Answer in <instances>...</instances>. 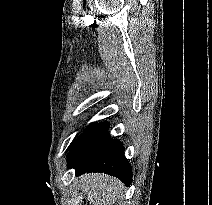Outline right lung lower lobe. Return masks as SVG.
Listing matches in <instances>:
<instances>
[{"label":"right lung lower lobe","mask_w":212,"mask_h":205,"mask_svg":"<svg viewBox=\"0 0 212 205\" xmlns=\"http://www.w3.org/2000/svg\"><path fill=\"white\" fill-rule=\"evenodd\" d=\"M108 125V122H101L86 127L68 149V168H75L77 176L86 172H104L129 186L131 166L124 156L122 143L108 135Z\"/></svg>","instance_id":"1"}]
</instances>
